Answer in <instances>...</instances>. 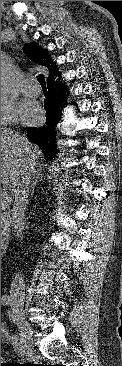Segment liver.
Segmentation results:
<instances>
[{"mask_svg": "<svg viewBox=\"0 0 122 366\" xmlns=\"http://www.w3.org/2000/svg\"><path fill=\"white\" fill-rule=\"evenodd\" d=\"M42 157L40 148L26 137L11 130H1V184L11 193L24 169L33 176L41 173L39 160Z\"/></svg>", "mask_w": 122, "mask_h": 366, "instance_id": "1", "label": "liver"}]
</instances>
